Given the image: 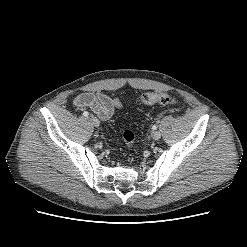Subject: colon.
Returning a JSON list of instances; mask_svg holds the SVG:
<instances>
[{
    "mask_svg": "<svg viewBox=\"0 0 247 247\" xmlns=\"http://www.w3.org/2000/svg\"><path fill=\"white\" fill-rule=\"evenodd\" d=\"M141 102L145 105H174L177 103V98L165 92H146L141 96ZM124 142L132 148L134 143V134L130 130H125L122 134Z\"/></svg>",
    "mask_w": 247,
    "mask_h": 247,
    "instance_id": "5ec220e1",
    "label": "colon"
}]
</instances>
